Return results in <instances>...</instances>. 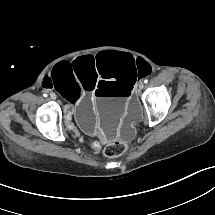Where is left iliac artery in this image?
I'll use <instances>...</instances> for the list:
<instances>
[{"label":"left iliac artery","mask_w":215,"mask_h":215,"mask_svg":"<svg viewBox=\"0 0 215 215\" xmlns=\"http://www.w3.org/2000/svg\"><path fill=\"white\" fill-rule=\"evenodd\" d=\"M147 82H148V80H147V79H145V80H144V83H147Z\"/></svg>","instance_id":"left-iliac-artery-1"}]
</instances>
